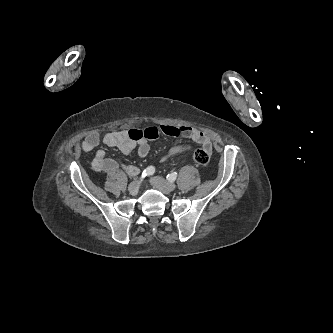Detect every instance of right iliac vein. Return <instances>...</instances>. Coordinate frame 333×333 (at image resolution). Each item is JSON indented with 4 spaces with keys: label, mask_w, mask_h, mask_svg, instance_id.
<instances>
[{
    "label": "right iliac vein",
    "mask_w": 333,
    "mask_h": 333,
    "mask_svg": "<svg viewBox=\"0 0 333 333\" xmlns=\"http://www.w3.org/2000/svg\"><path fill=\"white\" fill-rule=\"evenodd\" d=\"M139 181H133L132 183H130L128 190L132 195L137 194L138 190H139Z\"/></svg>",
    "instance_id": "right-iliac-vein-1"
}]
</instances>
